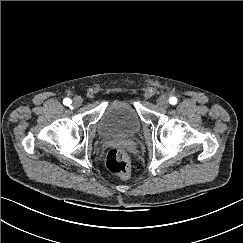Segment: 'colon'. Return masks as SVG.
Segmentation results:
<instances>
[{"mask_svg": "<svg viewBox=\"0 0 243 243\" xmlns=\"http://www.w3.org/2000/svg\"><path fill=\"white\" fill-rule=\"evenodd\" d=\"M106 166L109 171L127 179L131 173L130 161L125 152L117 147L111 148L106 155Z\"/></svg>", "mask_w": 243, "mask_h": 243, "instance_id": "colon-1", "label": "colon"}]
</instances>
